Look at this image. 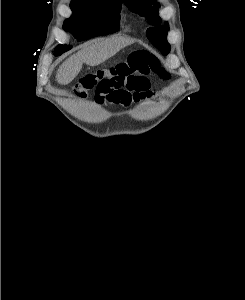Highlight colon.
Returning <instances> with one entry per match:
<instances>
[{"label": "colon", "instance_id": "1", "mask_svg": "<svg viewBox=\"0 0 245 300\" xmlns=\"http://www.w3.org/2000/svg\"><path fill=\"white\" fill-rule=\"evenodd\" d=\"M149 73H153L163 80L170 78V74L162 66L156 55L147 51H134L128 55L124 62L111 69L82 75L78 81L77 91L81 93L95 87L101 79L108 75L118 76L129 83L137 76Z\"/></svg>", "mask_w": 245, "mask_h": 300}]
</instances>
